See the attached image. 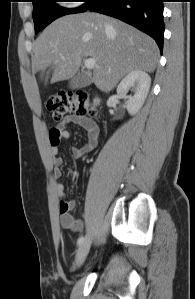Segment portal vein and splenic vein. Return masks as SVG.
I'll use <instances>...</instances> for the list:
<instances>
[{"label": "portal vein and splenic vein", "instance_id": "obj_1", "mask_svg": "<svg viewBox=\"0 0 195 299\" xmlns=\"http://www.w3.org/2000/svg\"><path fill=\"white\" fill-rule=\"evenodd\" d=\"M95 64L96 61L93 58L84 59V65L88 70L94 69Z\"/></svg>", "mask_w": 195, "mask_h": 299}]
</instances>
